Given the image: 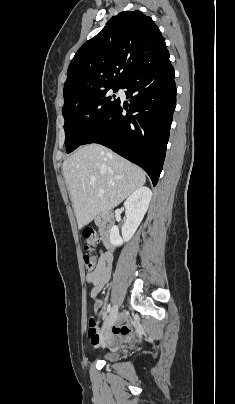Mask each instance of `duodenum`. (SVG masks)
<instances>
[{"label":"duodenum","mask_w":235,"mask_h":404,"mask_svg":"<svg viewBox=\"0 0 235 404\" xmlns=\"http://www.w3.org/2000/svg\"><path fill=\"white\" fill-rule=\"evenodd\" d=\"M97 223L101 236L103 237L109 248L112 249L111 244V230L113 225V216L110 213H104L97 217Z\"/></svg>","instance_id":"duodenum-1"}]
</instances>
